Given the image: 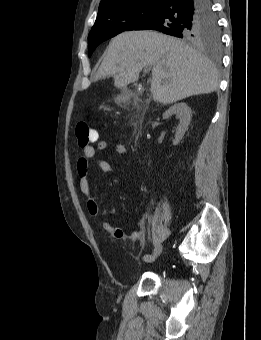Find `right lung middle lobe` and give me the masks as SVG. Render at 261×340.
<instances>
[{
	"label": "right lung middle lobe",
	"mask_w": 261,
	"mask_h": 340,
	"mask_svg": "<svg viewBox=\"0 0 261 340\" xmlns=\"http://www.w3.org/2000/svg\"><path fill=\"white\" fill-rule=\"evenodd\" d=\"M161 1H136L108 9L98 15L88 35L89 57L103 41L123 31L133 30L157 9ZM181 38L191 42L204 41L214 45L219 44L220 30L215 14L212 12L188 20Z\"/></svg>",
	"instance_id": "dd1d6c3e"
}]
</instances>
